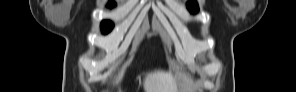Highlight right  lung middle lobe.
Listing matches in <instances>:
<instances>
[{"label":"right lung middle lobe","instance_id":"obj_1","mask_svg":"<svg viewBox=\"0 0 296 92\" xmlns=\"http://www.w3.org/2000/svg\"><path fill=\"white\" fill-rule=\"evenodd\" d=\"M115 6V2L110 1L108 3V7H114ZM114 27V24L111 21H102L101 23V29L103 31L104 34L110 32Z\"/></svg>","mask_w":296,"mask_h":92}]
</instances>
